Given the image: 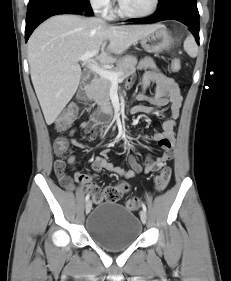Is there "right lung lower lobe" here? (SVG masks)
<instances>
[{"label": "right lung lower lobe", "mask_w": 231, "mask_h": 281, "mask_svg": "<svg viewBox=\"0 0 231 281\" xmlns=\"http://www.w3.org/2000/svg\"><path fill=\"white\" fill-rule=\"evenodd\" d=\"M93 14L89 0H29L26 16L25 41L47 18L58 14Z\"/></svg>", "instance_id": "obj_1"}]
</instances>
